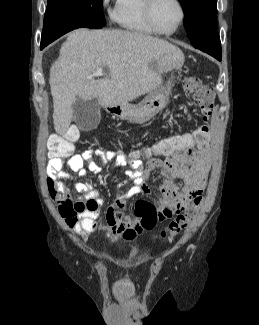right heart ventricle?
Here are the masks:
<instances>
[{
    "mask_svg": "<svg viewBox=\"0 0 259 325\" xmlns=\"http://www.w3.org/2000/svg\"><path fill=\"white\" fill-rule=\"evenodd\" d=\"M144 0H117L113 19L121 27L138 33H155L144 17Z\"/></svg>",
    "mask_w": 259,
    "mask_h": 325,
    "instance_id": "e07e8e85",
    "label": "right heart ventricle"
}]
</instances>
